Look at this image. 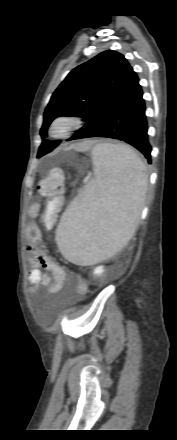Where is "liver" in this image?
Segmentation results:
<instances>
[{"label":"liver","mask_w":177,"mask_h":440,"mask_svg":"<svg viewBox=\"0 0 177 440\" xmlns=\"http://www.w3.org/2000/svg\"><path fill=\"white\" fill-rule=\"evenodd\" d=\"M91 144H92L91 142H83V143H79L77 145H74L73 148L78 151L87 150V149H89Z\"/></svg>","instance_id":"1"}]
</instances>
